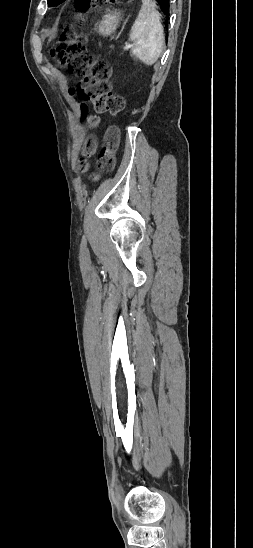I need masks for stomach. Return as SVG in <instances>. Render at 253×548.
<instances>
[{"label":"stomach","mask_w":253,"mask_h":548,"mask_svg":"<svg viewBox=\"0 0 253 548\" xmlns=\"http://www.w3.org/2000/svg\"><path fill=\"white\" fill-rule=\"evenodd\" d=\"M120 20V12L108 10L100 23L96 24V30L103 36H109L115 32Z\"/></svg>","instance_id":"1"}]
</instances>
